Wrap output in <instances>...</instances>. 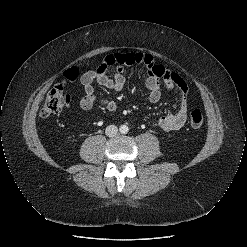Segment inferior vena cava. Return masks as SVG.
<instances>
[{"label":"inferior vena cava","instance_id":"obj_1","mask_svg":"<svg viewBox=\"0 0 247 247\" xmlns=\"http://www.w3.org/2000/svg\"><path fill=\"white\" fill-rule=\"evenodd\" d=\"M117 132H118V128L115 125H109V126L106 127V130H105V134L108 137L116 136Z\"/></svg>","mask_w":247,"mask_h":247}]
</instances>
